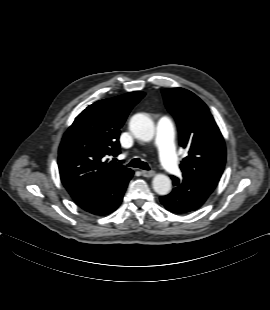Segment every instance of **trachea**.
Here are the masks:
<instances>
[{
    "mask_svg": "<svg viewBox=\"0 0 270 310\" xmlns=\"http://www.w3.org/2000/svg\"><path fill=\"white\" fill-rule=\"evenodd\" d=\"M129 167L140 168L143 170H150L146 162L141 161L139 158L132 159L130 163L127 164Z\"/></svg>",
    "mask_w": 270,
    "mask_h": 310,
    "instance_id": "trachea-1",
    "label": "trachea"
}]
</instances>
